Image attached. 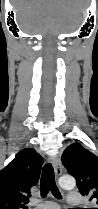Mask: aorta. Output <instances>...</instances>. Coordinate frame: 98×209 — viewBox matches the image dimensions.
<instances>
[{"mask_svg": "<svg viewBox=\"0 0 98 209\" xmlns=\"http://www.w3.org/2000/svg\"><path fill=\"white\" fill-rule=\"evenodd\" d=\"M59 186L65 190H72L76 186V181L72 176H62L58 181Z\"/></svg>", "mask_w": 98, "mask_h": 209, "instance_id": "1", "label": "aorta"}]
</instances>
